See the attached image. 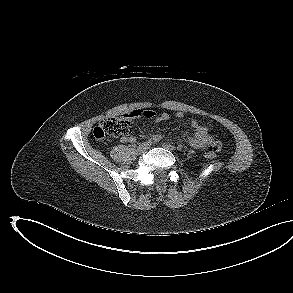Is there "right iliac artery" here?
Here are the masks:
<instances>
[{
	"label": "right iliac artery",
	"instance_id": "1",
	"mask_svg": "<svg viewBox=\"0 0 293 293\" xmlns=\"http://www.w3.org/2000/svg\"><path fill=\"white\" fill-rule=\"evenodd\" d=\"M161 139H162V135H154L148 142L156 143V142H159Z\"/></svg>",
	"mask_w": 293,
	"mask_h": 293
}]
</instances>
